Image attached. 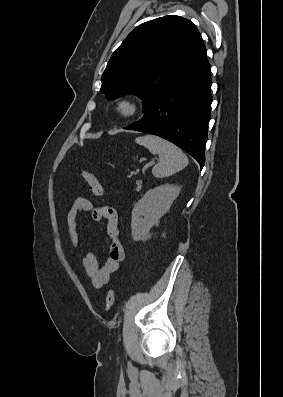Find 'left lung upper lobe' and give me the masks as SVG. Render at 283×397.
Segmentation results:
<instances>
[{
	"label": "left lung upper lobe",
	"mask_w": 283,
	"mask_h": 397,
	"mask_svg": "<svg viewBox=\"0 0 283 397\" xmlns=\"http://www.w3.org/2000/svg\"><path fill=\"white\" fill-rule=\"evenodd\" d=\"M206 60L202 37L190 20L157 18L136 27L115 50L102 75L101 92L110 100L137 94L146 112Z\"/></svg>",
	"instance_id": "left-lung-upper-lobe-1"
}]
</instances>
